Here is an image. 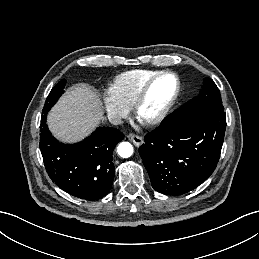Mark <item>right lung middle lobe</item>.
I'll return each instance as SVG.
<instances>
[{
  "label": "right lung middle lobe",
  "instance_id": "1",
  "mask_svg": "<svg viewBox=\"0 0 259 259\" xmlns=\"http://www.w3.org/2000/svg\"><path fill=\"white\" fill-rule=\"evenodd\" d=\"M66 80L60 81L54 88H52L49 96L46 99L42 110L41 122L46 121V115L48 111L52 108V106L58 101L59 97L64 92L63 89L65 87Z\"/></svg>",
  "mask_w": 259,
  "mask_h": 259
}]
</instances>
